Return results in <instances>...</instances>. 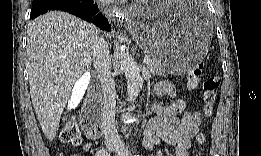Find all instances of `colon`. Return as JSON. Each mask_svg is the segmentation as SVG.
<instances>
[{"label":"colon","mask_w":261,"mask_h":156,"mask_svg":"<svg viewBox=\"0 0 261 156\" xmlns=\"http://www.w3.org/2000/svg\"><path fill=\"white\" fill-rule=\"evenodd\" d=\"M202 72V65L198 64L191 69L187 75L188 87L195 89L200 81ZM220 78L218 76H208L202 82L203 89V113L206 117L211 116L214 105L217 98V92L220 87ZM84 131L89 137H98L101 133L100 128L97 125L85 124ZM61 140L64 143L78 145L81 142V128L79 123L75 119L69 120L62 129ZM206 141V134L204 131H200L196 136V142L198 145H203Z\"/></svg>","instance_id":"5ec220e1"}]
</instances>
